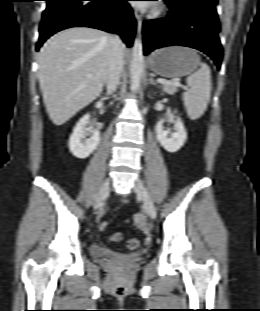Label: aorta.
<instances>
[{
    "label": "aorta",
    "mask_w": 260,
    "mask_h": 311,
    "mask_svg": "<svg viewBox=\"0 0 260 311\" xmlns=\"http://www.w3.org/2000/svg\"><path fill=\"white\" fill-rule=\"evenodd\" d=\"M144 74V58L142 43L136 38L132 49V59L130 63L131 90L137 92L140 88L141 80Z\"/></svg>",
    "instance_id": "1"
}]
</instances>
